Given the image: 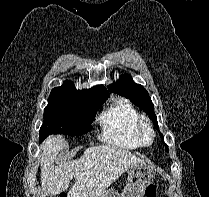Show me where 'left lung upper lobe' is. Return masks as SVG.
Returning a JSON list of instances; mask_svg holds the SVG:
<instances>
[{
  "instance_id": "obj_1",
  "label": "left lung upper lobe",
  "mask_w": 209,
  "mask_h": 197,
  "mask_svg": "<svg viewBox=\"0 0 209 197\" xmlns=\"http://www.w3.org/2000/svg\"><path fill=\"white\" fill-rule=\"evenodd\" d=\"M108 89L125 98L130 99L135 105H137L141 110L145 111L150 118L153 120L156 128L158 129L157 118L154 113V105L148 95L147 90L140 84H136L132 77L128 74H124L119 77V80L108 86ZM159 131V129H158ZM161 138L163 135L160 133ZM166 151H168V146L165 145Z\"/></svg>"
}]
</instances>
